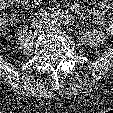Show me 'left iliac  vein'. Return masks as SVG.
I'll use <instances>...</instances> for the list:
<instances>
[{
    "instance_id": "left-iliac-vein-1",
    "label": "left iliac vein",
    "mask_w": 113,
    "mask_h": 113,
    "mask_svg": "<svg viewBox=\"0 0 113 113\" xmlns=\"http://www.w3.org/2000/svg\"><path fill=\"white\" fill-rule=\"evenodd\" d=\"M51 29L50 28H47V31H50Z\"/></svg>"
}]
</instances>
